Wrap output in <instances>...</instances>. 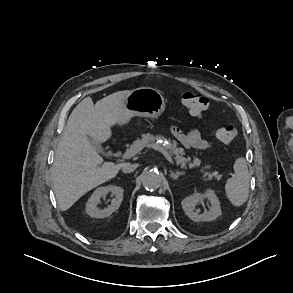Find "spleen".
Returning <instances> with one entry per match:
<instances>
[{
	"mask_svg": "<svg viewBox=\"0 0 293 293\" xmlns=\"http://www.w3.org/2000/svg\"><path fill=\"white\" fill-rule=\"evenodd\" d=\"M235 174L225 184L229 201L236 207L243 205L249 196V173L245 158H237L234 163Z\"/></svg>",
	"mask_w": 293,
	"mask_h": 293,
	"instance_id": "spleen-1",
	"label": "spleen"
}]
</instances>
